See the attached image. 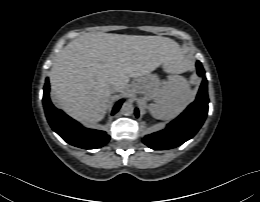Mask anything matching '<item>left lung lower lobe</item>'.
I'll return each mask as SVG.
<instances>
[{
    "mask_svg": "<svg viewBox=\"0 0 260 202\" xmlns=\"http://www.w3.org/2000/svg\"><path fill=\"white\" fill-rule=\"evenodd\" d=\"M197 73L203 77L197 98L179 117L167 125V128L149 135L142 141L154 150H166L178 147L191 139L203 125L208 113L207 79L199 61L196 64ZM136 117L139 116L135 109Z\"/></svg>",
    "mask_w": 260,
    "mask_h": 202,
    "instance_id": "1",
    "label": "left lung lower lobe"
}]
</instances>
